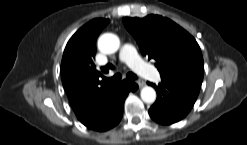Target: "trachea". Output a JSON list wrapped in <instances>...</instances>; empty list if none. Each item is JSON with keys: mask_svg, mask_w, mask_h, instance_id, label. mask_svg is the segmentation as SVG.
Here are the masks:
<instances>
[{"mask_svg": "<svg viewBox=\"0 0 247 145\" xmlns=\"http://www.w3.org/2000/svg\"><path fill=\"white\" fill-rule=\"evenodd\" d=\"M121 77H122L121 74L117 73L113 77L106 78V80L110 81L112 83H116V82H119L121 80ZM127 78L130 80H136L137 76L134 73L129 72V73H127Z\"/></svg>", "mask_w": 247, "mask_h": 145, "instance_id": "1", "label": "trachea"}]
</instances>
